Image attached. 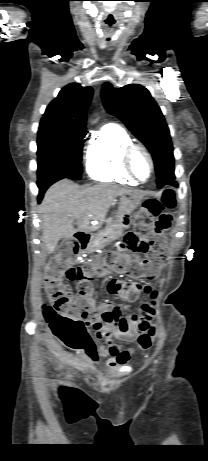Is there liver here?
<instances>
[{"label": "liver", "instance_id": "1", "mask_svg": "<svg viewBox=\"0 0 208 461\" xmlns=\"http://www.w3.org/2000/svg\"><path fill=\"white\" fill-rule=\"evenodd\" d=\"M133 193L136 192L111 184L82 187L66 179L52 185L41 204L42 242L47 253L54 252L61 238L98 230L113 200ZM91 220L97 223L91 224ZM74 221L77 228L73 226Z\"/></svg>", "mask_w": 208, "mask_h": 461}]
</instances>
